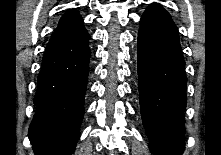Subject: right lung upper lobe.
<instances>
[{
  "instance_id": "cb5924a9",
  "label": "right lung upper lobe",
  "mask_w": 221,
  "mask_h": 155,
  "mask_svg": "<svg viewBox=\"0 0 221 155\" xmlns=\"http://www.w3.org/2000/svg\"><path fill=\"white\" fill-rule=\"evenodd\" d=\"M83 22L81 15L75 11H68L60 19L57 29L73 27Z\"/></svg>"
}]
</instances>
